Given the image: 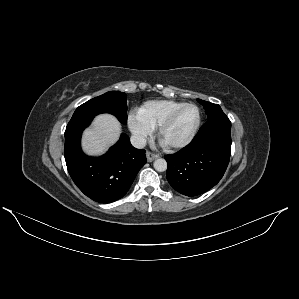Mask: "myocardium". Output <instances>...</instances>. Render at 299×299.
Instances as JSON below:
<instances>
[{"label": "myocardium", "instance_id": "obj_1", "mask_svg": "<svg viewBox=\"0 0 299 299\" xmlns=\"http://www.w3.org/2000/svg\"><path fill=\"white\" fill-rule=\"evenodd\" d=\"M187 107H194L197 112H198V117H197V121L196 124L193 128V130L191 131V133L183 140L179 141V142H175V143H167L164 141L163 139V135L165 130L173 123V121L175 120L176 116L185 108ZM201 120H202V114H201V110L200 108L192 103H185L183 105H181L180 107L176 108L175 110H173L162 122L161 124L158 126V138L160 140V142L168 149H179V148H183L185 146H187L195 137V135L197 134L200 125H201Z\"/></svg>", "mask_w": 299, "mask_h": 299}]
</instances>
